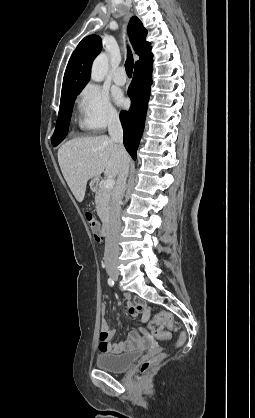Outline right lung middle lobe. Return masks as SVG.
Listing matches in <instances>:
<instances>
[{
  "instance_id": "right-lung-middle-lobe-1",
  "label": "right lung middle lobe",
  "mask_w": 255,
  "mask_h": 418,
  "mask_svg": "<svg viewBox=\"0 0 255 418\" xmlns=\"http://www.w3.org/2000/svg\"><path fill=\"white\" fill-rule=\"evenodd\" d=\"M82 89L65 92L61 94L59 115L56 122V128L52 136L51 143L57 146L67 135L69 122L71 119V113L76 99V95L81 92Z\"/></svg>"
}]
</instances>
